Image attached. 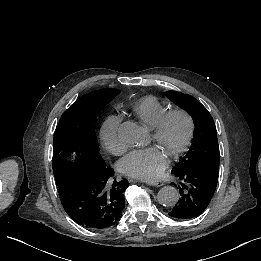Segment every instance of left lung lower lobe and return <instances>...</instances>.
Returning a JSON list of instances; mask_svg holds the SVG:
<instances>
[{"label":"left lung lower lobe","mask_w":261,"mask_h":261,"mask_svg":"<svg viewBox=\"0 0 261 261\" xmlns=\"http://www.w3.org/2000/svg\"><path fill=\"white\" fill-rule=\"evenodd\" d=\"M172 172L179 178V184L175 186L178 187L181 196L168 214L176 219H191L199 216L214 195L218 174L196 168Z\"/></svg>","instance_id":"0a47b994"}]
</instances>
